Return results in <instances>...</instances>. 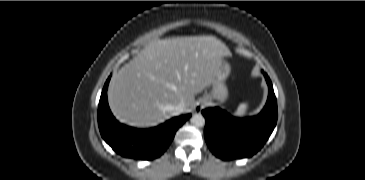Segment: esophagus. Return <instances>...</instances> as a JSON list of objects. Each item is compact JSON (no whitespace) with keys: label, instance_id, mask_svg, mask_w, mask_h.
Wrapping results in <instances>:
<instances>
[{"label":"esophagus","instance_id":"34e87169","mask_svg":"<svg viewBox=\"0 0 365 180\" xmlns=\"http://www.w3.org/2000/svg\"><path fill=\"white\" fill-rule=\"evenodd\" d=\"M203 107H204V104L202 102H199V103L196 104L194 110H195L196 113H199V112H201Z\"/></svg>","mask_w":365,"mask_h":180}]
</instances>
